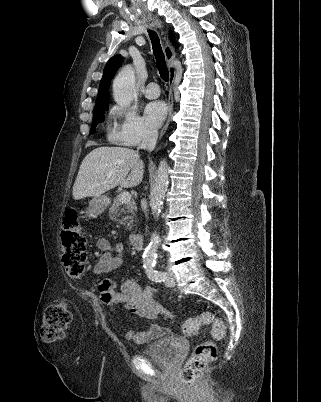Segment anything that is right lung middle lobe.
I'll return each mask as SVG.
<instances>
[{
    "label": "right lung middle lobe",
    "mask_w": 321,
    "mask_h": 402,
    "mask_svg": "<svg viewBox=\"0 0 321 402\" xmlns=\"http://www.w3.org/2000/svg\"><path fill=\"white\" fill-rule=\"evenodd\" d=\"M108 108H109V105H105V106L94 109L93 121H92V133L95 132V128H96L97 124L104 120V111L108 110Z\"/></svg>",
    "instance_id": "dd1d6c3e"
}]
</instances>
